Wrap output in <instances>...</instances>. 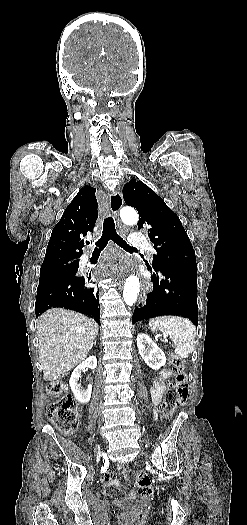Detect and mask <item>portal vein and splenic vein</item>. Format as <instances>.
Returning a JSON list of instances; mask_svg holds the SVG:
<instances>
[{
  "mask_svg": "<svg viewBox=\"0 0 247 525\" xmlns=\"http://www.w3.org/2000/svg\"><path fill=\"white\" fill-rule=\"evenodd\" d=\"M163 338L164 341H166V343H170V340H168L167 335H163ZM79 348H82V345H79Z\"/></svg>",
  "mask_w": 247,
  "mask_h": 525,
  "instance_id": "obj_1",
  "label": "portal vein and splenic vein"
}]
</instances>
